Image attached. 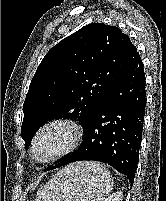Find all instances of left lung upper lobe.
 I'll return each instance as SVG.
<instances>
[{"label":"left lung upper lobe","instance_id":"left-lung-upper-lobe-1","mask_svg":"<svg viewBox=\"0 0 166 201\" xmlns=\"http://www.w3.org/2000/svg\"><path fill=\"white\" fill-rule=\"evenodd\" d=\"M136 53L127 35L104 23L86 25L51 48L24 101L25 148L49 120L71 118L84 127Z\"/></svg>","mask_w":166,"mask_h":201}]
</instances>
